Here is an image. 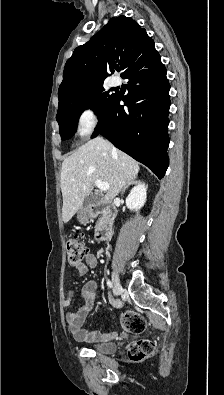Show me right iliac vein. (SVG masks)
<instances>
[{"instance_id":"right-iliac-vein-1","label":"right iliac vein","mask_w":224,"mask_h":395,"mask_svg":"<svg viewBox=\"0 0 224 395\" xmlns=\"http://www.w3.org/2000/svg\"><path fill=\"white\" fill-rule=\"evenodd\" d=\"M112 283L114 287V292L116 295L120 294L122 292V286L119 281V277L116 272H112Z\"/></svg>"}]
</instances>
